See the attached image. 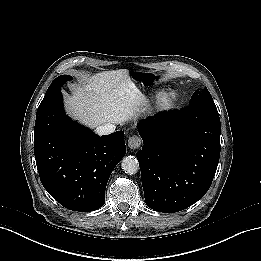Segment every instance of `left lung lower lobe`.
<instances>
[{
	"label": "left lung lower lobe",
	"mask_w": 261,
	"mask_h": 261,
	"mask_svg": "<svg viewBox=\"0 0 261 261\" xmlns=\"http://www.w3.org/2000/svg\"><path fill=\"white\" fill-rule=\"evenodd\" d=\"M137 127L144 143L137 159L147 206L177 212L201 199L219 162L217 110L188 106L142 120Z\"/></svg>",
	"instance_id": "1"
}]
</instances>
